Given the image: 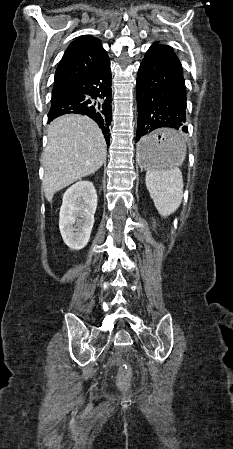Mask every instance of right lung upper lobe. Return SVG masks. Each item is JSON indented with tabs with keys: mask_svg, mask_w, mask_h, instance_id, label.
I'll list each match as a JSON object with an SVG mask.
<instances>
[{
	"mask_svg": "<svg viewBox=\"0 0 233 449\" xmlns=\"http://www.w3.org/2000/svg\"><path fill=\"white\" fill-rule=\"evenodd\" d=\"M109 60L98 38L83 35L65 51L55 73L53 90L65 89L102 67Z\"/></svg>",
	"mask_w": 233,
	"mask_h": 449,
	"instance_id": "cb5924a9",
	"label": "right lung upper lobe"
}]
</instances>
